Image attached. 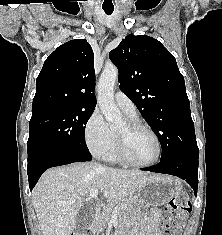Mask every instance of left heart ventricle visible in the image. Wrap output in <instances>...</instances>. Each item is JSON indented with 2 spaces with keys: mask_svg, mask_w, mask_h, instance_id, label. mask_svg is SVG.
Listing matches in <instances>:
<instances>
[{
  "mask_svg": "<svg viewBox=\"0 0 222 235\" xmlns=\"http://www.w3.org/2000/svg\"><path fill=\"white\" fill-rule=\"evenodd\" d=\"M117 132L126 137L128 154L135 162L147 163L157 156V142L150 133L144 130L129 132L126 122L117 129Z\"/></svg>",
  "mask_w": 222,
  "mask_h": 235,
  "instance_id": "left-heart-ventricle-1",
  "label": "left heart ventricle"
}]
</instances>
